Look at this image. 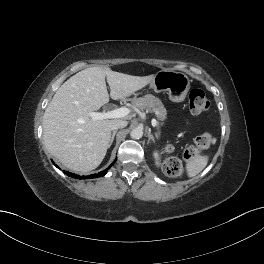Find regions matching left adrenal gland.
<instances>
[{
  "label": "left adrenal gland",
  "mask_w": 264,
  "mask_h": 264,
  "mask_svg": "<svg viewBox=\"0 0 264 264\" xmlns=\"http://www.w3.org/2000/svg\"><path fill=\"white\" fill-rule=\"evenodd\" d=\"M148 138H149V139H148V142H149L150 140L153 141V142L155 141V138H154L153 134H152L150 131L148 132Z\"/></svg>",
  "instance_id": "left-adrenal-gland-1"
}]
</instances>
